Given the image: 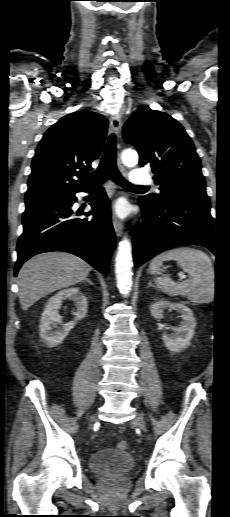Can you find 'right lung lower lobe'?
<instances>
[{"mask_svg":"<svg viewBox=\"0 0 230 517\" xmlns=\"http://www.w3.org/2000/svg\"><path fill=\"white\" fill-rule=\"evenodd\" d=\"M74 192L26 201L18 240L17 275L30 257L50 251H66L87 261L98 271L108 273L115 234L111 223L110 201L101 188L90 205L96 211L92 219L73 217L71 206L77 201ZM92 212L86 213L90 215Z\"/></svg>","mask_w":230,"mask_h":517,"instance_id":"98d812e1","label":"right lung lower lobe"}]
</instances>
